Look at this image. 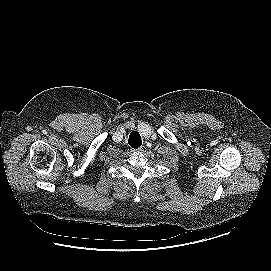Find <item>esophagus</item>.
Wrapping results in <instances>:
<instances>
[{
	"instance_id": "1",
	"label": "esophagus",
	"mask_w": 271,
	"mask_h": 271,
	"mask_svg": "<svg viewBox=\"0 0 271 271\" xmlns=\"http://www.w3.org/2000/svg\"><path fill=\"white\" fill-rule=\"evenodd\" d=\"M142 150H143V148H138V149L132 150V152H141Z\"/></svg>"
}]
</instances>
